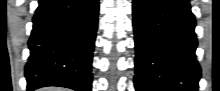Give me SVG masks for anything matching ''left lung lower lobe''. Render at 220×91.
I'll return each mask as SVG.
<instances>
[{
	"instance_id": "1",
	"label": "left lung lower lobe",
	"mask_w": 220,
	"mask_h": 91,
	"mask_svg": "<svg viewBox=\"0 0 220 91\" xmlns=\"http://www.w3.org/2000/svg\"><path fill=\"white\" fill-rule=\"evenodd\" d=\"M196 21L188 0H133L136 91H197Z\"/></svg>"
}]
</instances>
